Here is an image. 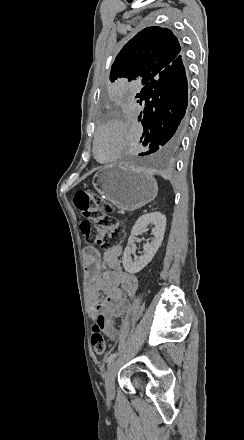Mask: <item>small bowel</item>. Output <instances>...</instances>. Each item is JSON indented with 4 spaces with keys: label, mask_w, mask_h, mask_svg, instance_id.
Returning a JSON list of instances; mask_svg holds the SVG:
<instances>
[{
    "label": "small bowel",
    "mask_w": 244,
    "mask_h": 440,
    "mask_svg": "<svg viewBox=\"0 0 244 440\" xmlns=\"http://www.w3.org/2000/svg\"><path fill=\"white\" fill-rule=\"evenodd\" d=\"M122 252L120 244H115L102 253L94 247H87L84 251L88 299L93 304L100 293L105 295L103 332L112 341L119 335L116 319L131 312L132 301L138 290L136 275L127 272L122 266Z\"/></svg>",
    "instance_id": "obj_1"
}]
</instances>
